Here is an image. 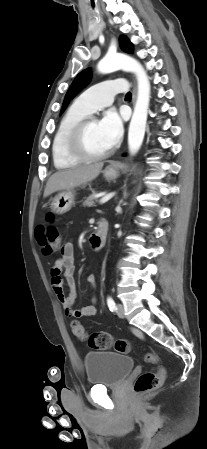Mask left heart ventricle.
<instances>
[{"label":"left heart ventricle","instance_id":"b2bd125f","mask_svg":"<svg viewBox=\"0 0 207 449\" xmlns=\"http://www.w3.org/2000/svg\"><path fill=\"white\" fill-rule=\"evenodd\" d=\"M84 144L86 149L92 153H100L110 148L99 123L96 121L87 128L84 135Z\"/></svg>","mask_w":207,"mask_h":449}]
</instances>
